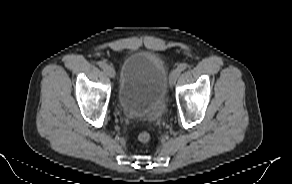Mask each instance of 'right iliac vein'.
Segmentation results:
<instances>
[{
  "mask_svg": "<svg viewBox=\"0 0 292 184\" xmlns=\"http://www.w3.org/2000/svg\"><path fill=\"white\" fill-rule=\"evenodd\" d=\"M104 71H105V73H106L109 77H111V78H114V77H115V69H114L113 67H111V66H106V67L104 68Z\"/></svg>",
  "mask_w": 292,
  "mask_h": 184,
  "instance_id": "1",
  "label": "right iliac vein"
}]
</instances>
